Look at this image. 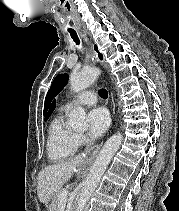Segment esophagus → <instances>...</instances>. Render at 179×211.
I'll return each instance as SVG.
<instances>
[{"label": "esophagus", "mask_w": 179, "mask_h": 211, "mask_svg": "<svg viewBox=\"0 0 179 211\" xmlns=\"http://www.w3.org/2000/svg\"><path fill=\"white\" fill-rule=\"evenodd\" d=\"M84 40L87 44H89L88 42V38L84 35ZM91 59L93 61V63L95 64L97 59V55L92 52L91 54ZM113 114H114V110H113ZM100 146L101 145H97L95 147H87V151L86 154H83V159H86V163H96V158H94V156H97V152H100Z\"/></svg>", "instance_id": "esophagus-1"}]
</instances>
